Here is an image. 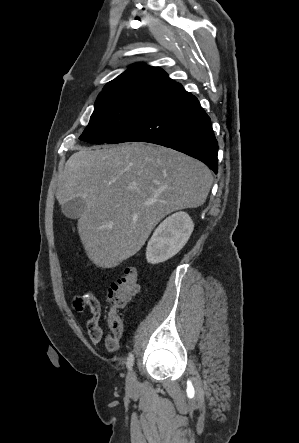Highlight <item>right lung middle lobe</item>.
Instances as JSON below:
<instances>
[{
    "instance_id": "obj_1",
    "label": "right lung middle lobe",
    "mask_w": 299,
    "mask_h": 443,
    "mask_svg": "<svg viewBox=\"0 0 299 443\" xmlns=\"http://www.w3.org/2000/svg\"><path fill=\"white\" fill-rule=\"evenodd\" d=\"M166 89L157 87L123 88L100 93L90 122L80 140L107 143L127 129Z\"/></svg>"
}]
</instances>
